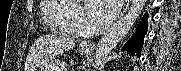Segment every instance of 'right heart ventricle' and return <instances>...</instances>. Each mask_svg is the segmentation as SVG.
Instances as JSON below:
<instances>
[{
	"instance_id": "obj_1",
	"label": "right heart ventricle",
	"mask_w": 181,
	"mask_h": 71,
	"mask_svg": "<svg viewBox=\"0 0 181 71\" xmlns=\"http://www.w3.org/2000/svg\"><path fill=\"white\" fill-rule=\"evenodd\" d=\"M41 12L42 19L50 30L68 36L78 34L77 17L80 12L73 1L44 0Z\"/></svg>"
}]
</instances>
